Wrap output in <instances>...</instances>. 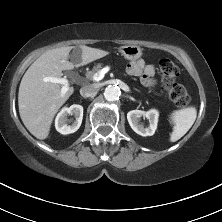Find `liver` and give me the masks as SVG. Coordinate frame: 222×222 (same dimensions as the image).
<instances>
[{
  "label": "liver",
  "instance_id": "liver-1",
  "mask_svg": "<svg viewBox=\"0 0 222 222\" xmlns=\"http://www.w3.org/2000/svg\"><path fill=\"white\" fill-rule=\"evenodd\" d=\"M72 46L48 50L28 68L18 93L21 120L28 131L38 139H46L55 114L73 94L70 87L62 95L58 83L46 82V77L61 78L63 70H71L105 57L109 52L81 45L76 63L68 61Z\"/></svg>",
  "mask_w": 222,
  "mask_h": 222
}]
</instances>
